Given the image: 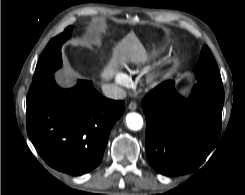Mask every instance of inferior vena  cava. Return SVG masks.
I'll use <instances>...</instances> for the list:
<instances>
[{
	"instance_id": "602c4592",
	"label": "inferior vena cava",
	"mask_w": 245,
	"mask_h": 195,
	"mask_svg": "<svg viewBox=\"0 0 245 195\" xmlns=\"http://www.w3.org/2000/svg\"><path fill=\"white\" fill-rule=\"evenodd\" d=\"M102 91L105 96L110 99L120 100L126 97V92L121 87L114 84H104Z\"/></svg>"
}]
</instances>
